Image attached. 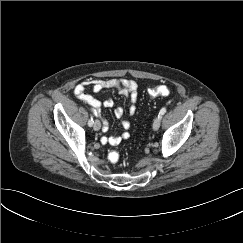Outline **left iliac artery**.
<instances>
[{"instance_id":"44dca946","label":"left iliac artery","mask_w":243,"mask_h":243,"mask_svg":"<svg viewBox=\"0 0 243 243\" xmlns=\"http://www.w3.org/2000/svg\"><path fill=\"white\" fill-rule=\"evenodd\" d=\"M165 113H166V108L163 107V108L160 110V112H159V116L162 117Z\"/></svg>"}]
</instances>
